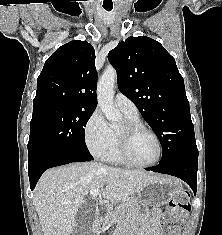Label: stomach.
I'll return each instance as SVG.
<instances>
[{"label":"stomach","mask_w":222,"mask_h":235,"mask_svg":"<svg viewBox=\"0 0 222 235\" xmlns=\"http://www.w3.org/2000/svg\"><path fill=\"white\" fill-rule=\"evenodd\" d=\"M181 191V183L172 177H158L138 192L135 206H162Z\"/></svg>","instance_id":"stomach-1"}]
</instances>
